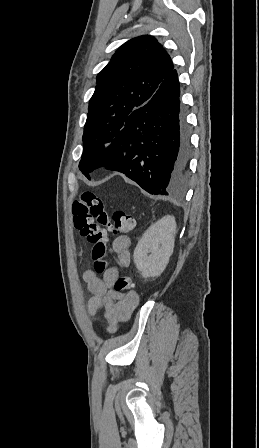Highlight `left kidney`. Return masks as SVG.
<instances>
[{
    "mask_svg": "<svg viewBox=\"0 0 259 448\" xmlns=\"http://www.w3.org/2000/svg\"><path fill=\"white\" fill-rule=\"evenodd\" d=\"M175 230L174 216H164L143 234L134 250L135 266L143 278H158L164 272L173 254Z\"/></svg>",
    "mask_w": 259,
    "mask_h": 448,
    "instance_id": "left-kidney-1",
    "label": "left kidney"
}]
</instances>
